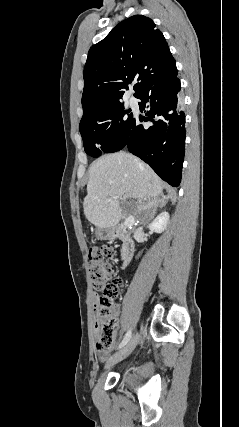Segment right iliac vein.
Listing matches in <instances>:
<instances>
[{
	"label": "right iliac vein",
	"mask_w": 239,
	"mask_h": 427,
	"mask_svg": "<svg viewBox=\"0 0 239 427\" xmlns=\"http://www.w3.org/2000/svg\"><path fill=\"white\" fill-rule=\"evenodd\" d=\"M138 341H139V334L136 333L120 351H118L112 357L109 358V360L107 361L106 367L114 365L120 362L121 360L125 359L126 357H128L137 346Z\"/></svg>",
	"instance_id": "1"
}]
</instances>
